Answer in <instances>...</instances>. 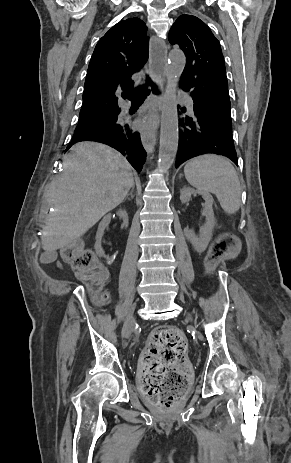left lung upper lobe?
<instances>
[{"instance_id": "left-lung-upper-lobe-1", "label": "left lung upper lobe", "mask_w": 291, "mask_h": 463, "mask_svg": "<svg viewBox=\"0 0 291 463\" xmlns=\"http://www.w3.org/2000/svg\"><path fill=\"white\" fill-rule=\"evenodd\" d=\"M169 42L184 51L181 88L207 112L231 121L224 57L209 27L192 15H181L170 29Z\"/></svg>"}]
</instances>
